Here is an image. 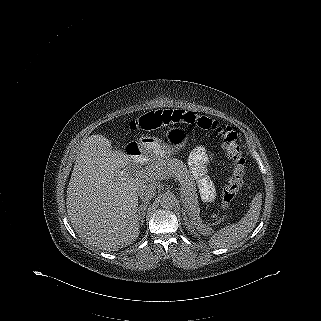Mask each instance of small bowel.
Segmentation results:
<instances>
[{
  "instance_id": "1",
  "label": "small bowel",
  "mask_w": 321,
  "mask_h": 321,
  "mask_svg": "<svg viewBox=\"0 0 321 321\" xmlns=\"http://www.w3.org/2000/svg\"><path fill=\"white\" fill-rule=\"evenodd\" d=\"M195 153L196 154H201L202 153V150L201 149H197L196 151H195ZM206 156H207V158H209V156L206 154ZM210 158H211V156H210Z\"/></svg>"
}]
</instances>
